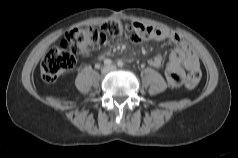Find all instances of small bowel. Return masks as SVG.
Instances as JSON below:
<instances>
[{"mask_svg":"<svg viewBox=\"0 0 238 158\" xmlns=\"http://www.w3.org/2000/svg\"><path fill=\"white\" fill-rule=\"evenodd\" d=\"M136 34L131 38L135 42L142 40L169 41L176 46L170 56L165 69V78L169 85L179 86L187 71L199 69L200 62L197 54L186 41L178 34L161 28L135 23ZM149 64L154 68H159L163 64V57L154 56L149 60Z\"/></svg>","mask_w":238,"mask_h":158,"instance_id":"small-bowel-1","label":"small bowel"}]
</instances>
